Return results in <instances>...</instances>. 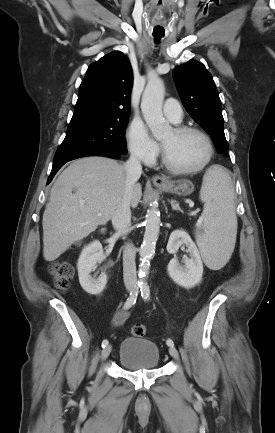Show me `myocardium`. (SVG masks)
Instances as JSON below:
<instances>
[{"label":"myocardium","instance_id":"1","mask_svg":"<svg viewBox=\"0 0 275 433\" xmlns=\"http://www.w3.org/2000/svg\"><path fill=\"white\" fill-rule=\"evenodd\" d=\"M173 131L177 134H185V133H196L200 135L207 145V156L205 160L194 168H180L171 163L169 160L166 151L162 145V162L164 166L172 173L180 174V175H190V174H196L205 169L209 163L211 162L213 156H214V145L212 142V139L210 136L201 128L196 126H188V125H177L173 127Z\"/></svg>","mask_w":275,"mask_h":433}]
</instances>
